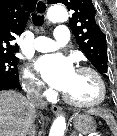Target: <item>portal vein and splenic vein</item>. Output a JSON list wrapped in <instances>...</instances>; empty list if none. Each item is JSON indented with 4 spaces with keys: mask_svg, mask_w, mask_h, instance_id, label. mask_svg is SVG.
<instances>
[{
    "mask_svg": "<svg viewBox=\"0 0 117 136\" xmlns=\"http://www.w3.org/2000/svg\"><path fill=\"white\" fill-rule=\"evenodd\" d=\"M89 136H99V134L96 132V133L90 134Z\"/></svg>",
    "mask_w": 117,
    "mask_h": 136,
    "instance_id": "portal-vein-and-splenic-vein-1",
    "label": "portal vein and splenic vein"
}]
</instances>
